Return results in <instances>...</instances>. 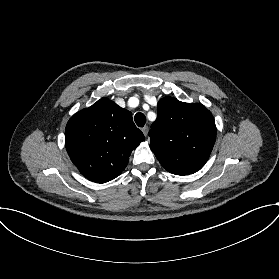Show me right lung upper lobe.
Here are the masks:
<instances>
[{"instance_id":"1","label":"right lung upper lobe","mask_w":279,"mask_h":279,"mask_svg":"<svg viewBox=\"0 0 279 279\" xmlns=\"http://www.w3.org/2000/svg\"><path fill=\"white\" fill-rule=\"evenodd\" d=\"M132 113L108 98L70 118L65 129V146L80 173L96 183L119 176L129 156L143 140Z\"/></svg>"}]
</instances>
